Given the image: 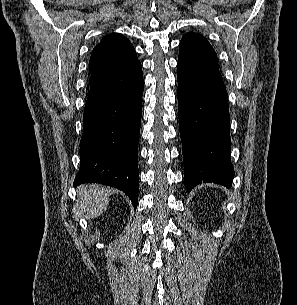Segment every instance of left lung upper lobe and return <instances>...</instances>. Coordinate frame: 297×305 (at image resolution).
Here are the masks:
<instances>
[{
    "label": "left lung upper lobe",
    "mask_w": 297,
    "mask_h": 305,
    "mask_svg": "<svg viewBox=\"0 0 297 305\" xmlns=\"http://www.w3.org/2000/svg\"><path fill=\"white\" fill-rule=\"evenodd\" d=\"M178 66L188 72L219 69L213 47L203 35L193 32L184 34L180 41Z\"/></svg>",
    "instance_id": "1"
}]
</instances>
